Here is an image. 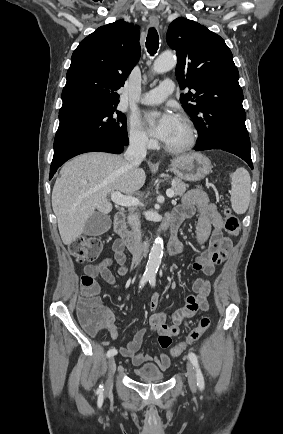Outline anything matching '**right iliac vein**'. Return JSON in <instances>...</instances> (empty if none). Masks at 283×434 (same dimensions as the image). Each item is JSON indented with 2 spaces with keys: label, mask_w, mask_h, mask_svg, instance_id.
Wrapping results in <instances>:
<instances>
[{
  "label": "right iliac vein",
  "mask_w": 283,
  "mask_h": 434,
  "mask_svg": "<svg viewBox=\"0 0 283 434\" xmlns=\"http://www.w3.org/2000/svg\"><path fill=\"white\" fill-rule=\"evenodd\" d=\"M115 368H116L115 359L113 357H110L108 360V377L105 385L106 391H109L112 388L113 374L115 372Z\"/></svg>",
  "instance_id": "63e3f726"
}]
</instances>
